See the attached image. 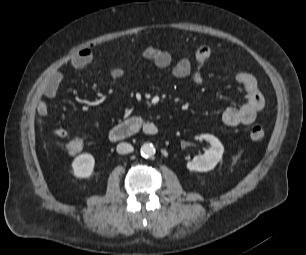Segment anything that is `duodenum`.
<instances>
[{
  "label": "duodenum",
  "mask_w": 306,
  "mask_h": 255,
  "mask_svg": "<svg viewBox=\"0 0 306 255\" xmlns=\"http://www.w3.org/2000/svg\"><path fill=\"white\" fill-rule=\"evenodd\" d=\"M140 132L148 136H155L158 134L159 128L157 124L143 117H131L113 126L109 131V139L112 142L122 141Z\"/></svg>",
  "instance_id": "1"
}]
</instances>
